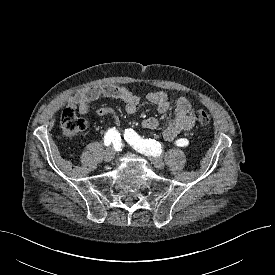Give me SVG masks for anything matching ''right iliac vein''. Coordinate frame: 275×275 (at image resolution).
Segmentation results:
<instances>
[{
  "label": "right iliac vein",
  "instance_id": "right-iliac-vein-1",
  "mask_svg": "<svg viewBox=\"0 0 275 275\" xmlns=\"http://www.w3.org/2000/svg\"><path fill=\"white\" fill-rule=\"evenodd\" d=\"M114 156H115V150L113 148L107 149L104 154L105 162H111L114 159Z\"/></svg>",
  "mask_w": 275,
  "mask_h": 275
}]
</instances>
